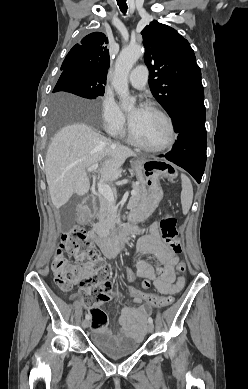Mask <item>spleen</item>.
Returning a JSON list of instances; mask_svg holds the SVG:
<instances>
[{
    "label": "spleen",
    "mask_w": 248,
    "mask_h": 389,
    "mask_svg": "<svg viewBox=\"0 0 248 389\" xmlns=\"http://www.w3.org/2000/svg\"><path fill=\"white\" fill-rule=\"evenodd\" d=\"M182 191H181V204L184 214H187L190 210L193 201V187L190 179L181 174Z\"/></svg>",
    "instance_id": "1"
}]
</instances>
